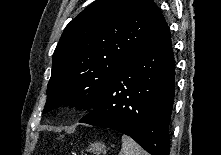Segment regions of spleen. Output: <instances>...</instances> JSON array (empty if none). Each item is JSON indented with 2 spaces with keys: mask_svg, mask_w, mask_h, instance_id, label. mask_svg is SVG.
Here are the masks:
<instances>
[{
  "mask_svg": "<svg viewBox=\"0 0 221 155\" xmlns=\"http://www.w3.org/2000/svg\"><path fill=\"white\" fill-rule=\"evenodd\" d=\"M119 155H147V153L132 138L123 135Z\"/></svg>",
  "mask_w": 221,
  "mask_h": 155,
  "instance_id": "3e777b00",
  "label": "spleen"
}]
</instances>
